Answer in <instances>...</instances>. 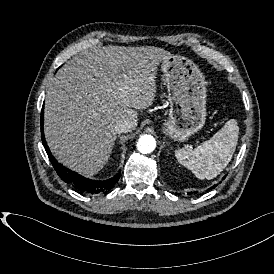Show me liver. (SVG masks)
I'll return each instance as SVG.
<instances>
[{
	"mask_svg": "<svg viewBox=\"0 0 274 274\" xmlns=\"http://www.w3.org/2000/svg\"><path fill=\"white\" fill-rule=\"evenodd\" d=\"M171 53L154 46L108 45L58 70L47 91L44 134L56 159L85 177L108 162L118 120L137 121L153 104L157 66Z\"/></svg>",
	"mask_w": 274,
	"mask_h": 274,
	"instance_id": "obj_1",
	"label": "liver"
}]
</instances>
